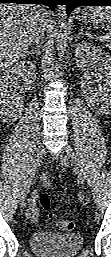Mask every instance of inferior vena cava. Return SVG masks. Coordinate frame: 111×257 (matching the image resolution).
I'll list each match as a JSON object with an SVG mask.
<instances>
[{"label":"inferior vena cava","mask_w":111,"mask_h":257,"mask_svg":"<svg viewBox=\"0 0 111 257\" xmlns=\"http://www.w3.org/2000/svg\"><path fill=\"white\" fill-rule=\"evenodd\" d=\"M45 27L39 25L34 33L33 40L36 45L40 47L41 41L43 40Z\"/></svg>","instance_id":"602c4592"}]
</instances>
